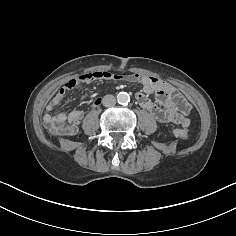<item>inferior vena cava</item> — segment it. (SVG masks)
<instances>
[{"mask_svg": "<svg viewBox=\"0 0 236 236\" xmlns=\"http://www.w3.org/2000/svg\"><path fill=\"white\" fill-rule=\"evenodd\" d=\"M102 103L105 107H112L116 104V99L113 95L108 94L103 97Z\"/></svg>", "mask_w": 236, "mask_h": 236, "instance_id": "602c4592", "label": "inferior vena cava"}]
</instances>
